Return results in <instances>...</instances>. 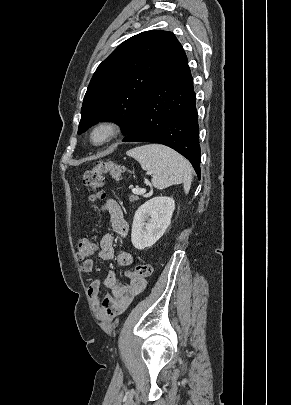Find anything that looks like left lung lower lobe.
<instances>
[{
  "mask_svg": "<svg viewBox=\"0 0 291 405\" xmlns=\"http://www.w3.org/2000/svg\"><path fill=\"white\" fill-rule=\"evenodd\" d=\"M195 102L193 78L182 50L146 94L135 126L123 142L166 145L186 157L200 178Z\"/></svg>",
  "mask_w": 291,
  "mask_h": 405,
  "instance_id": "0a47b994",
  "label": "left lung lower lobe"
}]
</instances>
